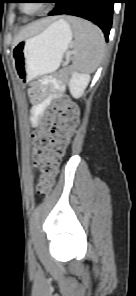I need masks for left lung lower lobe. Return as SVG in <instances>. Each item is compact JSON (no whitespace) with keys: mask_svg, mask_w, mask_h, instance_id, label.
<instances>
[{"mask_svg":"<svg viewBox=\"0 0 136 296\" xmlns=\"http://www.w3.org/2000/svg\"><path fill=\"white\" fill-rule=\"evenodd\" d=\"M116 0H55V8L48 15L68 14L94 22L108 41L112 24L113 4Z\"/></svg>","mask_w":136,"mask_h":296,"instance_id":"0a47b994","label":"left lung lower lobe"}]
</instances>
